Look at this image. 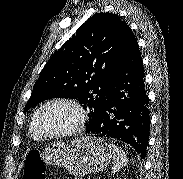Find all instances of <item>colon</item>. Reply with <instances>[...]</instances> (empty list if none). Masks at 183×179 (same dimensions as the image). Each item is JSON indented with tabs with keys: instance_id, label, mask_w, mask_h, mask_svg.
I'll return each instance as SVG.
<instances>
[{
	"instance_id": "5ec220e1",
	"label": "colon",
	"mask_w": 183,
	"mask_h": 179,
	"mask_svg": "<svg viewBox=\"0 0 183 179\" xmlns=\"http://www.w3.org/2000/svg\"><path fill=\"white\" fill-rule=\"evenodd\" d=\"M44 166L37 150H31L25 161L24 179H44Z\"/></svg>"
}]
</instances>
